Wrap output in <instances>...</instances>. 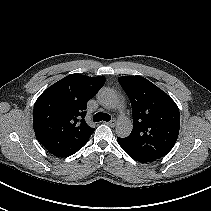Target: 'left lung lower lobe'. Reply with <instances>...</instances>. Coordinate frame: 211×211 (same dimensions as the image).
<instances>
[{"label": "left lung lower lobe", "mask_w": 211, "mask_h": 211, "mask_svg": "<svg viewBox=\"0 0 211 211\" xmlns=\"http://www.w3.org/2000/svg\"><path fill=\"white\" fill-rule=\"evenodd\" d=\"M117 142L126 151V153L136 161L146 163V162H152V161L156 160L155 158H153L151 156H148V155H145V154H142V153H138V152H133V151H130V150H126L123 147L122 138H117Z\"/></svg>", "instance_id": "1"}]
</instances>
